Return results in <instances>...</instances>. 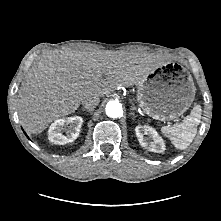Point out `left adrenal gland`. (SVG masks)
Instances as JSON below:
<instances>
[{
	"instance_id": "1",
	"label": "left adrenal gland",
	"mask_w": 221,
	"mask_h": 221,
	"mask_svg": "<svg viewBox=\"0 0 221 221\" xmlns=\"http://www.w3.org/2000/svg\"><path fill=\"white\" fill-rule=\"evenodd\" d=\"M131 105H132V107L130 108V111H131L130 114L134 116V111H135L136 109H135V107H134V103H133V102H131Z\"/></svg>"
}]
</instances>
